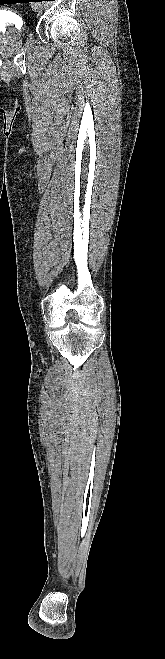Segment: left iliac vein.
I'll return each instance as SVG.
<instances>
[{
    "label": "left iliac vein",
    "instance_id": "4c4485c4",
    "mask_svg": "<svg viewBox=\"0 0 165 659\" xmlns=\"http://www.w3.org/2000/svg\"><path fill=\"white\" fill-rule=\"evenodd\" d=\"M33 10H34L35 12L40 13V12H41L40 4H36V3L33 4Z\"/></svg>",
    "mask_w": 165,
    "mask_h": 659
}]
</instances>
